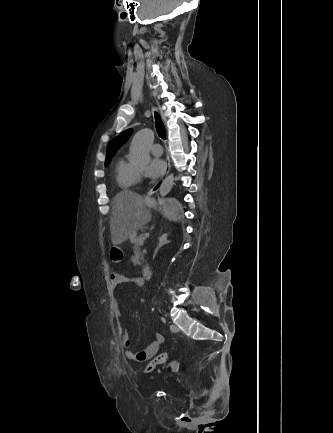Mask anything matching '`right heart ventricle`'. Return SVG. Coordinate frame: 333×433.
Listing matches in <instances>:
<instances>
[{"label": "right heart ventricle", "mask_w": 333, "mask_h": 433, "mask_svg": "<svg viewBox=\"0 0 333 433\" xmlns=\"http://www.w3.org/2000/svg\"><path fill=\"white\" fill-rule=\"evenodd\" d=\"M114 173L116 183L121 190H128L138 182V169L123 157L116 160Z\"/></svg>", "instance_id": "e07e8e85"}]
</instances>
